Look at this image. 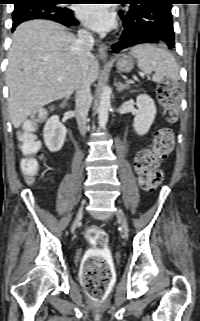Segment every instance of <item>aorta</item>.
Returning a JSON list of instances; mask_svg holds the SVG:
<instances>
[{
	"instance_id": "aorta-1",
	"label": "aorta",
	"mask_w": 200,
	"mask_h": 321,
	"mask_svg": "<svg viewBox=\"0 0 200 321\" xmlns=\"http://www.w3.org/2000/svg\"><path fill=\"white\" fill-rule=\"evenodd\" d=\"M111 107V90L105 86L100 95V103L98 107V123L100 128H105L108 122L109 109Z\"/></svg>"
}]
</instances>
